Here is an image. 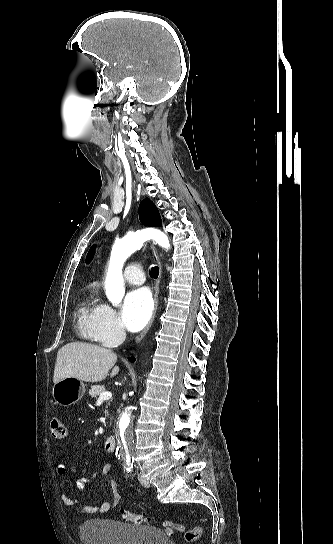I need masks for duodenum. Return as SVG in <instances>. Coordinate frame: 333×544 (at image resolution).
<instances>
[{"mask_svg":"<svg viewBox=\"0 0 333 544\" xmlns=\"http://www.w3.org/2000/svg\"><path fill=\"white\" fill-rule=\"evenodd\" d=\"M116 447V439L114 436H109L104 442V448L107 452H113Z\"/></svg>","mask_w":333,"mask_h":544,"instance_id":"obj_1","label":"duodenum"}]
</instances>
